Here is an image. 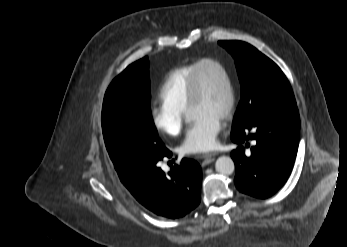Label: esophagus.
Masks as SVG:
<instances>
[{"label":"esophagus","instance_id":"obj_1","mask_svg":"<svg viewBox=\"0 0 347 247\" xmlns=\"http://www.w3.org/2000/svg\"><path fill=\"white\" fill-rule=\"evenodd\" d=\"M214 156H215V153H208V154L201 155L200 158L203 160L202 165L205 166L212 163L215 160Z\"/></svg>","mask_w":347,"mask_h":247}]
</instances>
